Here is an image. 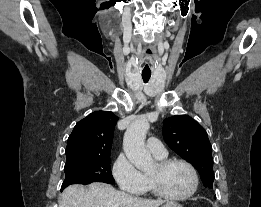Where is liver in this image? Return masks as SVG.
<instances>
[{"label":"liver","instance_id":"6515ba94","mask_svg":"<svg viewBox=\"0 0 261 207\" xmlns=\"http://www.w3.org/2000/svg\"><path fill=\"white\" fill-rule=\"evenodd\" d=\"M165 201L132 196L106 183L94 182L85 189L82 185L67 187L59 207H159Z\"/></svg>","mask_w":261,"mask_h":207}]
</instances>
